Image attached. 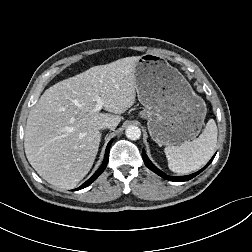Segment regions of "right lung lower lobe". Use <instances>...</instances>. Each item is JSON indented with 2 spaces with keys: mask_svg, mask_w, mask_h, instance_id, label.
<instances>
[{
  "mask_svg": "<svg viewBox=\"0 0 252 252\" xmlns=\"http://www.w3.org/2000/svg\"><path fill=\"white\" fill-rule=\"evenodd\" d=\"M112 142H113V140H111L106 147L104 161H103L102 165L100 166V168L95 172V174L92 177H90L85 183H83L79 188H77V190H80V189H83V188L89 186L104 171V169L107 166L108 160H109V149H110Z\"/></svg>",
  "mask_w": 252,
  "mask_h": 252,
  "instance_id": "obj_1",
  "label": "right lung lower lobe"
}]
</instances>
